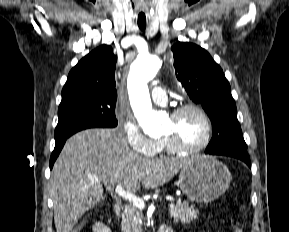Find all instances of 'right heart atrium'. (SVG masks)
<instances>
[{"label": "right heart atrium", "mask_w": 289, "mask_h": 232, "mask_svg": "<svg viewBox=\"0 0 289 232\" xmlns=\"http://www.w3.org/2000/svg\"><path fill=\"white\" fill-rule=\"evenodd\" d=\"M121 128L128 145L135 153L147 157L155 156L158 153L160 141L144 134L133 118L123 117Z\"/></svg>", "instance_id": "d8ad5b80"}]
</instances>
